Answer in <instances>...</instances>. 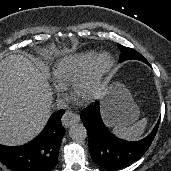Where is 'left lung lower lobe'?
<instances>
[{"mask_svg":"<svg viewBox=\"0 0 171 171\" xmlns=\"http://www.w3.org/2000/svg\"><path fill=\"white\" fill-rule=\"evenodd\" d=\"M89 136L90 154L96 164L107 170H119L137 161L148 149L159 126L144 139L129 142L115 137L105 127L99 110V102L80 115Z\"/></svg>","mask_w":171,"mask_h":171,"instance_id":"0a47b994","label":"left lung lower lobe"}]
</instances>
